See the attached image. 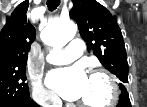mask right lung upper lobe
Listing matches in <instances>:
<instances>
[{
  "instance_id": "1",
  "label": "right lung upper lobe",
  "mask_w": 147,
  "mask_h": 107,
  "mask_svg": "<svg viewBox=\"0 0 147 107\" xmlns=\"http://www.w3.org/2000/svg\"><path fill=\"white\" fill-rule=\"evenodd\" d=\"M28 0L19 4L0 32V73L26 67L35 28L27 21Z\"/></svg>"
}]
</instances>
